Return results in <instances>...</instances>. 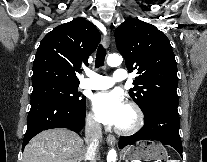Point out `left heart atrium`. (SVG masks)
<instances>
[{
    "mask_svg": "<svg viewBox=\"0 0 207 162\" xmlns=\"http://www.w3.org/2000/svg\"><path fill=\"white\" fill-rule=\"evenodd\" d=\"M91 103L100 122L115 126L126 106L123 96L118 91L97 93L92 97Z\"/></svg>",
    "mask_w": 207,
    "mask_h": 162,
    "instance_id": "1",
    "label": "left heart atrium"
}]
</instances>
